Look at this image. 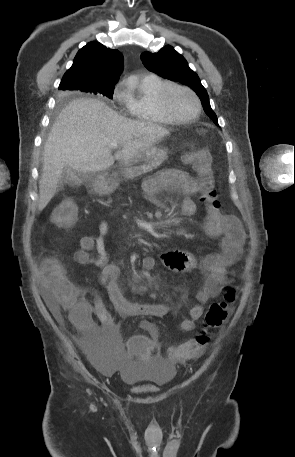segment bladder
Wrapping results in <instances>:
<instances>
[{
    "mask_svg": "<svg viewBox=\"0 0 295 457\" xmlns=\"http://www.w3.org/2000/svg\"><path fill=\"white\" fill-rule=\"evenodd\" d=\"M77 347H82V356H88L98 370H118L122 381L131 387H161L174 376V368L165 359L164 352H157L155 358H151V366H134L132 360L125 358L119 363L117 347H120V338H77Z\"/></svg>",
    "mask_w": 295,
    "mask_h": 457,
    "instance_id": "31cf9c89",
    "label": "bladder"
}]
</instances>
